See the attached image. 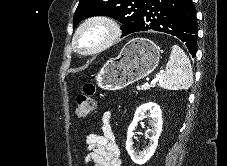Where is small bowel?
<instances>
[{
  "mask_svg": "<svg viewBox=\"0 0 227 166\" xmlns=\"http://www.w3.org/2000/svg\"><path fill=\"white\" fill-rule=\"evenodd\" d=\"M101 133L86 136L87 155L85 162L88 166H122L120 149L115 142L111 127V112L102 114Z\"/></svg>",
  "mask_w": 227,
  "mask_h": 166,
  "instance_id": "obj_1",
  "label": "small bowel"
}]
</instances>
